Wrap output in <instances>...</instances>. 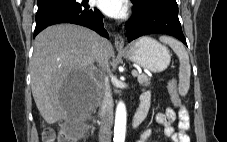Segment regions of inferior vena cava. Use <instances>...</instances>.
<instances>
[{"mask_svg":"<svg viewBox=\"0 0 227 142\" xmlns=\"http://www.w3.org/2000/svg\"><path fill=\"white\" fill-rule=\"evenodd\" d=\"M92 51H93L94 60L99 64V67L101 68V70H99L95 74V76L98 80V83L101 85V88L105 90L108 86L107 80H106V73L109 70L108 57L105 54L99 40H96L94 42ZM100 118H101V125L99 130V142H111L110 119H109L108 111L104 106V104H102Z\"/></svg>","mask_w":227,"mask_h":142,"instance_id":"1","label":"inferior vena cava"}]
</instances>
